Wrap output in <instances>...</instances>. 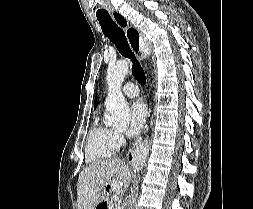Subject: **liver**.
<instances>
[{"label":"liver","mask_w":253,"mask_h":209,"mask_svg":"<svg viewBox=\"0 0 253 209\" xmlns=\"http://www.w3.org/2000/svg\"><path fill=\"white\" fill-rule=\"evenodd\" d=\"M131 175L128 166L117 158L89 164L78 178L77 209H95L106 185L119 193L122 187L128 188Z\"/></svg>","instance_id":"6515ba94"}]
</instances>
